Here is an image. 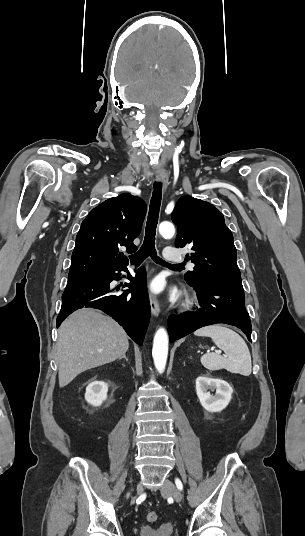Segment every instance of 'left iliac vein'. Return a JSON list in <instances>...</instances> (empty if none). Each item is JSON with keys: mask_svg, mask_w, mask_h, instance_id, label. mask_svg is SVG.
Instances as JSON below:
<instances>
[{"mask_svg": "<svg viewBox=\"0 0 305 536\" xmlns=\"http://www.w3.org/2000/svg\"><path fill=\"white\" fill-rule=\"evenodd\" d=\"M160 491L163 495L170 496L175 499L177 502L182 500L181 492L176 488L175 484L169 480L165 479L163 486L160 488Z\"/></svg>", "mask_w": 305, "mask_h": 536, "instance_id": "1", "label": "left iliac vein"}]
</instances>
